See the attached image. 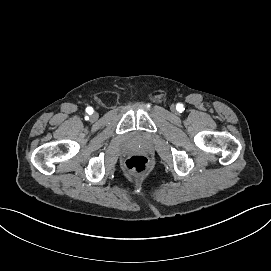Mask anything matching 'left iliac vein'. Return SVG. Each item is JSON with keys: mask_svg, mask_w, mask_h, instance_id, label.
Instances as JSON below:
<instances>
[{"mask_svg": "<svg viewBox=\"0 0 271 271\" xmlns=\"http://www.w3.org/2000/svg\"><path fill=\"white\" fill-rule=\"evenodd\" d=\"M175 109V107L174 106H172V110H174Z\"/></svg>", "mask_w": 271, "mask_h": 271, "instance_id": "obj_1", "label": "left iliac vein"}]
</instances>
